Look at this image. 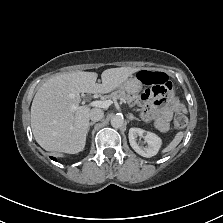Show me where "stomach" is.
I'll list each match as a JSON object with an SVG mask.
<instances>
[{"label":"stomach","instance_id":"1","mask_svg":"<svg viewBox=\"0 0 223 223\" xmlns=\"http://www.w3.org/2000/svg\"><path fill=\"white\" fill-rule=\"evenodd\" d=\"M142 81L141 80H133V79H127L126 81H124L119 88L121 90L123 89H127L129 91H133V92H139L142 89Z\"/></svg>","mask_w":223,"mask_h":223}]
</instances>
